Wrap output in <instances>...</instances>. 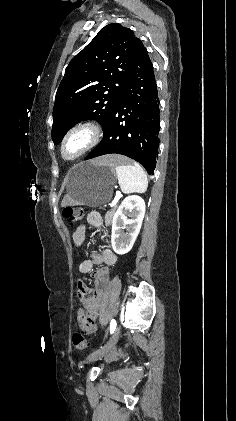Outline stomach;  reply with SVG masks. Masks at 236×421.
<instances>
[{
	"instance_id": "1",
	"label": "stomach",
	"mask_w": 236,
	"mask_h": 421,
	"mask_svg": "<svg viewBox=\"0 0 236 421\" xmlns=\"http://www.w3.org/2000/svg\"><path fill=\"white\" fill-rule=\"evenodd\" d=\"M115 180L114 166L83 160L69 170L67 192L72 204L100 206L110 200Z\"/></svg>"
}]
</instances>
